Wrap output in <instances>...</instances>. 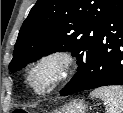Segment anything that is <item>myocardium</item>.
<instances>
[{
	"instance_id": "obj_1",
	"label": "myocardium",
	"mask_w": 123,
	"mask_h": 113,
	"mask_svg": "<svg viewBox=\"0 0 123 113\" xmlns=\"http://www.w3.org/2000/svg\"><path fill=\"white\" fill-rule=\"evenodd\" d=\"M75 63L74 54L68 50L46 52L29 65L25 82L35 95H45L72 76ZM41 77L45 80L39 85L38 79Z\"/></svg>"
}]
</instances>
